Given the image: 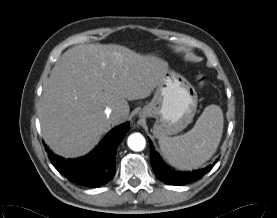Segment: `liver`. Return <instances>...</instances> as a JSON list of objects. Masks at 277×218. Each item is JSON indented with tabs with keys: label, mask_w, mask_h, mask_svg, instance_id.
Segmentation results:
<instances>
[{
	"label": "liver",
	"mask_w": 277,
	"mask_h": 218,
	"mask_svg": "<svg viewBox=\"0 0 277 218\" xmlns=\"http://www.w3.org/2000/svg\"><path fill=\"white\" fill-rule=\"evenodd\" d=\"M167 70L164 60L120 45L68 49L55 63L38 109L45 142L64 157L88 153L111 126L128 118V101L150 96ZM106 108L114 116L108 118Z\"/></svg>",
	"instance_id": "liver-1"
}]
</instances>
